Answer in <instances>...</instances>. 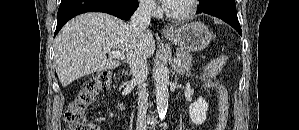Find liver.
<instances>
[{"mask_svg":"<svg viewBox=\"0 0 299 130\" xmlns=\"http://www.w3.org/2000/svg\"><path fill=\"white\" fill-rule=\"evenodd\" d=\"M54 63L63 87L94 72L111 70L121 61L106 54L120 51L129 60L136 51L146 58L155 51L152 33L135 36L129 24L106 13L89 12L70 20L54 41Z\"/></svg>","mask_w":299,"mask_h":130,"instance_id":"1","label":"liver"}]
</instances>
